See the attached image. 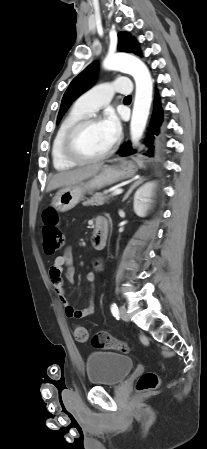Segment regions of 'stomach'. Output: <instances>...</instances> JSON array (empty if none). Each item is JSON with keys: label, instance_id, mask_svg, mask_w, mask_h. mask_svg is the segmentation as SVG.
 <instances>
[{"label": "stomach", "instance_id": "obj_1", "mask_svg": "<svg viewBox=\"0 0 207 449\" xmlns=\"http://www.w3.org/2000/svg\"><path fill=\"white\" fill-rule=\"evenodd\" d=\"M136 172L137 167L130 161L106 165L89 180L60 189L53 197L52 207L58 212H67L83 200L87 192L131 178Z\"/></svg>", "mask_w": 207, "mask_h": 449}]
</instances>
